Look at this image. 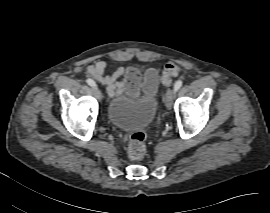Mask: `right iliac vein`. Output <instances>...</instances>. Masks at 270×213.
<instances>
[{"label": "right iliac vein", "instance_id": "1", "mask_svg": "<svg viewBox=\"0 0 270 213\" xmlns=\"http://www.w3.org/2000/svg\"><path fill=\"white\" fill-rule=\"evenodd\" d=\"M93 94L98 98L101 97V92H100V90L98 88L93 89Z\"/></svg>", "mask_w": 270, "mask_h": 213}]
</instances>
